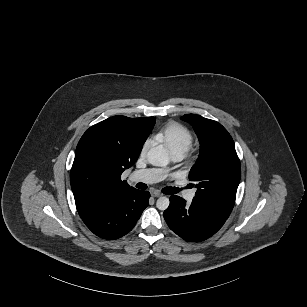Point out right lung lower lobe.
<instances>
[{"label": "right lung lower lobe", "mask_w": 307, "mask_h": 307, "mask_svg": "<svg viewBox=\"0 0 307 307\" xmlns=\"http://www.w3.org/2000/svg\"><path fill=\"white\" fill-rule=\"evenodd\" d=\"M149 197V192L131 188L79 211V215L95 235L117 239L132 230L148 206Z\"/></svg>", "instance_id": "right-lung-lower-lobe-1"}]
</instances>
